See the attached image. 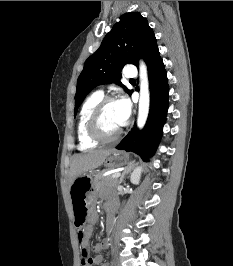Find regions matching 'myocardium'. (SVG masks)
Wrapping results in <instances>:
<instances>
[{
  "instance_id": "obj_1",
  "label": "myocardium",
  "mask_w": 233,
  "mask_h": 266,
  "mask_svg": "<svg viewBox=\"0 0 233 266\" xmlns=\"http://www.w3.org/2000/svg\"><path fill=\"white\" fill-rule=\"evenodd\" d=\"M111 102H116V98L112 96H104L93 108L88 123H87V133L88 136L96 141V142H101V143H107V142H112L119 138V136L122 134L123 129L122 127L119 128L115 133L111 135H106L102 132L101 130V116L103 113V110L105 106L108 103Z\"/></svg>"
}]
</instances>
